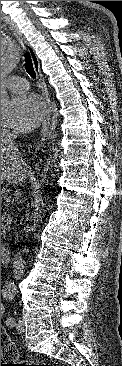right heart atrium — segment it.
Segmentation results:
<instances>
[{
  "mask_svg": "<svg viewBox=\"0 0 122 366\" xmlns=\"http://www.w3.org/2000/svg\"><path fill=\"white\" fill-rule=\"evenodd\" d=\"M5 131H4V129L2 128V126H1V135L4 133Z\"/></svg>",
  "mask_w": 122,
  "mask_h": 366,
  "instance_id": "obj_1",
  "label": "right heart atrium"
}]
</instances>
